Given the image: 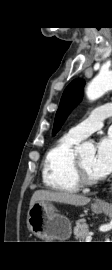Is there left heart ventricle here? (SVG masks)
Wrapping results in <instances>:
<instances>
[{"label": "left heart ventricle", "mask_w": 112, "mask_h": 270, "mask_svg": "<svg viewBox=\"0 0 112 270\" xmlns=\"http://www.w3.org/2000/svg\"><path fill=\"white\" fill-rule=\"evenodd\" d=\"M78 158H79L85 172L87 173V175L91 178H97L92 171V163L94 160V155L90 154V155H86V156H82V157H78Z\"/></svg>", "instance_id": "b2bd125f"}]
</instances>
